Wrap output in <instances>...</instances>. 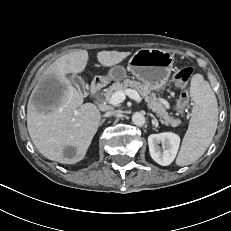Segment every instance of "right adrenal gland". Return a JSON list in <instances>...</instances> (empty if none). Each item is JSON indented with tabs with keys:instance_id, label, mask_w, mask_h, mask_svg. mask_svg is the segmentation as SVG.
<instances>
[{
	"instance_id": "1",
	"label": "right adrenal gland",
	"mask_w": 231,
	"mask_h": 231,
	"mask_svg": "<svg viewBox=\"0 0 231 231\" xmlns=\"http://www.w3.org/2000/svg\"><path fill=\"white\" fill-rule=\"evenodd\" d=\"M105 122V119H102L100 122V126Z\"/></svg>"
}]
</instances>
